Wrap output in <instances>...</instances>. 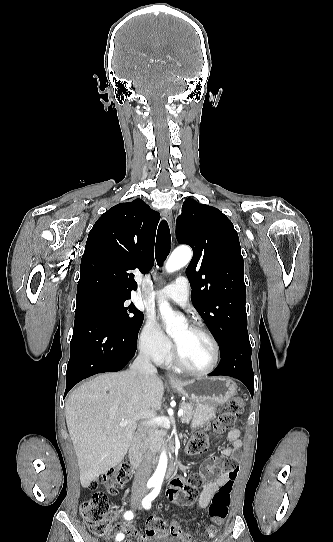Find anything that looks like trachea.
Wrapping results in <instances>:
<instances>
[{
    "mask_svg": "<svg viewBox=\"0 0 333 542\" xmlns=\"http://www.w3.org/2000/svg\"><path fill=\"white\" fill-rule=\"evenodd\" d=\"M171 248V235L169 226L166 220H162L158 227V233L156 237V260L158 265L161 266L169 255Z\"/></svg>",
    "mask_w": 333,
    "mask_h": 542,
    "instance_id": "obj_1",
    "label": "trachea"
}]
</instances>
